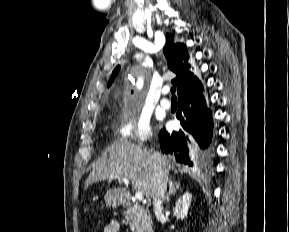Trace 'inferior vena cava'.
<instances>
[{"mask_svg":"<svg viewBox=\"0 0 289 232\" xmlns=\"http://www.w3.org/2000/svg\"><path fill=\"white\" fill-rule=\"evenodd\" d=\"M153 208L156 215L162 212V202L168 183V171L161 164V156L154 153Z\"/></svg>","mask_w":289,"mask_h":232,"instance_id":"inferior-vena-cava-1","label":"inferior vena cava"}]
</instances>
